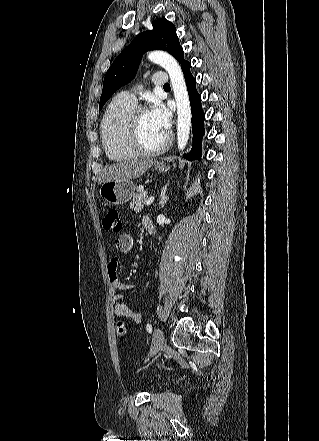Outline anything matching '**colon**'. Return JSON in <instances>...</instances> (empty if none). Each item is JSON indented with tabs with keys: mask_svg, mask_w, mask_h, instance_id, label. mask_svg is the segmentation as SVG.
I'll list each match as a JSON object with an SVG mask.
<instances>
[{
	"mask_svg": "<svg viewBox=\"0 0 319 441\" xmlns=\"http://www.w3.org/2000/svg\"><path fill=\"white\" fill-rule=\"evenodd\" d=\"M102 225L106 231H111L114 233L120 232L122 229V222L120 219L119 211L115 208L109 209L103 217ZM117 330L120 336L125 335L126 331L122 325H118Z\"/></svg>",
	"mask_w": 319,
	"mask_h": 441,
	"instance_id": "colon-1",
	"label": "colon"
}]
</instances>
